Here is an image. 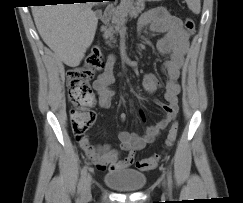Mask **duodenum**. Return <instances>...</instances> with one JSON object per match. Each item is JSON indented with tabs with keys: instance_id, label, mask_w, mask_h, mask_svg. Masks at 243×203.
<instances>
[{
	"instance_id": "obj_1",
	"label": "duodenum",
	"mask_w": 243,
	"mask_h": 203,
	"mask_svg": "<svg viewBox=\"0 0 243 203\" xmlns=\"http://www.w3.org/2000/svg\"><path fill=\"white\" fill-rule=\"evenodd\" d=\"M110 13H111V10H110V9L106 10V11L104 12L103 16H102V20H103V21H107V20L109 19V15H110Z\"/></svg>"
}]
</instances>
